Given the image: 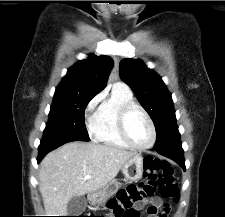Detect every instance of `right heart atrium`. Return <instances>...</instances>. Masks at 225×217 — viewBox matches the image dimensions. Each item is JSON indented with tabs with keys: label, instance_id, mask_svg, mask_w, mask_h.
Here are the masks:
<instances>
[{
	"label": "right heart atrium",
	"instance_id": "d8ad5b80",
	"mask_svg": "<svg viewBox=\"0 0 225 217\" xmlns=\"http://www.w3.org/2000/svg\"><path fill=\"white\" fill-rule=\"evenodd\" d=\"M103 94L100 93L92 98L85 108L86 126L91 135L96 134L97 129V111L96 108L101 101Z\"/></svg>",
	"mask_w": 225,
	"mask_h": 217
}]
</instances>
